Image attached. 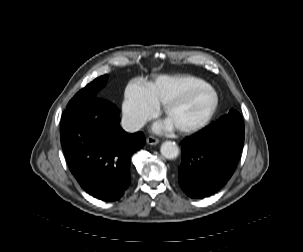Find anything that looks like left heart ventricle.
<instances>
[{
	"label": "left heart ventricle",
	"mask_w": 303,
	"mask_h": 252,
	"mask_svg": "<svg viewBox=\"0 0 303 252\" xmlns=\"http://www.w3.org/2000/svg\"><path fill=\"white\" fill-rule=\"evenodd\" d=\"M209 105V91L199 90L186 103L175 107L167 119L174 127L194 124L203 118Z\"/></svg>",
	"instance_id": "obj_1"
}]
</instances>
